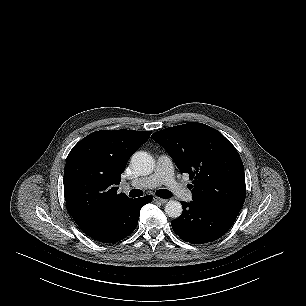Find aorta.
Masks as SVG:
<instances>
[{
  "instance_id": "obj_1",
  "label": "aorta",
  "mask_w": 306,
  "mask_h": 306,
  "mask_svg": "<svg viewBox=\"0 0 306 306\" xmlns=\"http://www.w3.org/2000/svg\"><path fill=\"white\" fill-rule=\"evenodd\" d=\"M131 164L135 171L141 175H148L154 169V160L152 156L147 152H136L131 157ZM182 205L180 202L170 200L165 205V212L167 216L171 218H178L182 214Z\"/></svg>"
}]
</instances>
